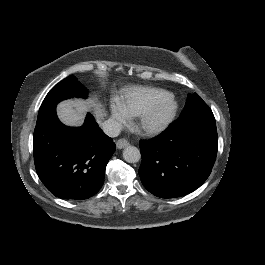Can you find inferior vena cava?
I'll return each mask as SVG.
<instances>
[{
	"label": "inferior vena cava",
	"instance_id": "obj_1",
	"mask_svg": "<svg viewBox=\"0 0 265 265\" xmlns=\"http://www.w3.org/2000/svg\"><path fill=\"white\" fill-rule=\"evenodd\" d=\"M100 128L109 137H117L121 133L122 124L116 119H108L100 125Z\"/></svg>",
	"mask_w": 265,
	"mask_h": 265
}]
</instances>
